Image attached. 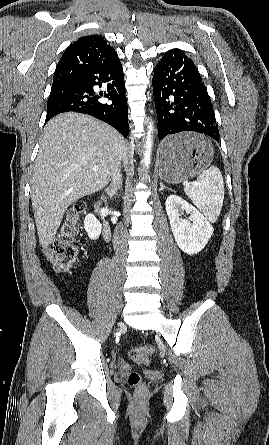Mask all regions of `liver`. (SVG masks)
<instances>
[{"mask_svg":"<svg viewBox=\"0 0 269 445\" xmlns=\"http://www.w3.org/2000/svg\"><path fill=\"white\" fill-rule=\"evenodd\" d=\"M126 151L119 132L91 116L67 112L47 123L31 179L32 208L43 248L52 243L71 204L109 183Z\"/></svg>","mask_w":269,"mask_h":445,"instance_id":"liver-1","label":"liver"}]
</instances>
